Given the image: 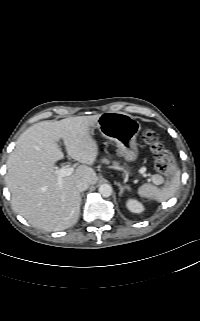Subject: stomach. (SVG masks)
Wrapping results in <instances>:
<instances>
[{
    "label": "stomach",
    "mask_w": 200,
    "mask_h": 321,
    "mask_svg": "<svg viewBox=\"0 0 200 321\" xmlns=\"http://www.w3.org/2000/svg\"><path fill=\"white\" fill-rule=\"evenodd\" d=\"M101 134L116 143L117 152L126 161L136 160L138 147L136 137L141 129L139 123L130 115L122 112H105L101 114L95 125Z\"/></svg>",
    "instance_id": "obj_1"
}]
</instances>
